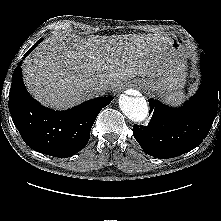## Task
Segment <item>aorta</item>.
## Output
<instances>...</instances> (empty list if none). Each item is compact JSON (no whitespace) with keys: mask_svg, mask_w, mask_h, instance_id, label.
I'll list each match as a JSON object with an SVG mask.
<instances>
[{"mask_svg":"<svg viewBox=\"0 0 221 221\" xmlns=\"http://www.w3.org/2000/svg\"><path fill=\"white\" fill-rule=\"evenodd\" d=\"M119 107L133 122L144 121L149 113V108L144 97H131L121 94L119 97Z\"/></svg>","mask_w":221,"mask_h":221,"instance_id":"1","label":"aorta"}]
</instances>
